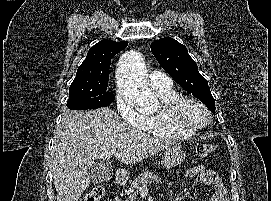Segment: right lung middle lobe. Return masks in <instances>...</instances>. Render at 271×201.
Here are the masks:
<instances>
[{
	"label": "right lung middle lobe",
	"mask_w": 271,
	"mask_h": 201,
	"mask_svg": "<svg viewBox=\"0 0 271 201\" xmlns=\"http://www.w3.org/2000/svg\"><path fill=\"white\" fill-rule=\"evenodd\" d=\"M109 74L77 76L69 89L67 107L72 110L97 109L108 106L115 96L107 90Z\"/></svg>",
	"instance_id": "obj_1"
}]
</instances>
